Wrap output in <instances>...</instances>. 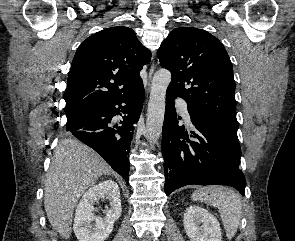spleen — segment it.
Masks as SVG:
<instances>
[{
    "label": "spleen",
    "mask_w": 295,
    "mask_h": 241,
    "mask_svg": "<svg viewBox=\"0 0 295 241\" xmlns=\"http://www.w3.org/2000/svg\"><path fill=\"white\" fill-rule=\"evenodd\" d=\"M191 198L217 207L227 238L235 236L242 215L241 199L236 192L224 186H206L196 189Z\"/></svg>",
    "instance_id": "obj_1"
}]
</instances>
